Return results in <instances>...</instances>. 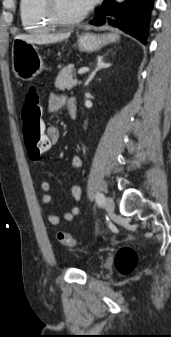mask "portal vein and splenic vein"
I'll return each instance as SVG.
<instances>
[{"mask_svg": "<svg viewBox=\"0 0 171 337\" xmlns=\"http://www.w3.org/2000/svg\"><path fill=\"white\" fill-rule=\"evenodd\" d=\"M87 71H89V68L83 67V68L78 70V74H83V73H86Z\"/></svg>", "mask_w": 171, "mask_h": 337, "instance_id": "18ae733b", "label": "portal vein and splenic vein"}]
</instances>
